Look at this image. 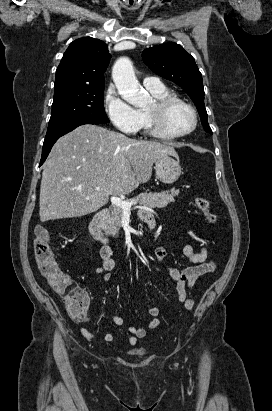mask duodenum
I'll list each match as a JSON object with an SVG mask.
<instances>
[{"mask_svg": "<svg viewBox=\"0 0 272 411\" xmlns=\"http://www.w3.org/2000/svg\"><path fill=\"white\" fill-rule=\"evenodd\" d=\"M110 214L109 209L100 210L91 220L89 230L92 236L99 241L103 246H110L109 237L104 230V224ZM155 222L154 218L150 216L148 223L152 225Z\"/></svg>", "mask_w": 272, "mask_h": 411, "instance_id": "410a0bca", "label": "duodenum"}]
</instances>
